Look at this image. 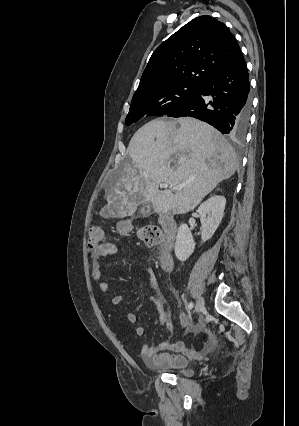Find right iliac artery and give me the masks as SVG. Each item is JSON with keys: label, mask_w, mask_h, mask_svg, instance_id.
I'll list each match as a JSON object with an SVG mask.
<instances>
[{"label": "right iliac artery", "mask_w": 299, "mask_h": 426, "mask_svg": "<svg viewBox=\"0 0 299 426\" xmlns=\"http://www.w3.org/2000/svg\"><path fill=\"white\" fill-rule=\"evenodd\" d=\"M193 308V302H190L189 304H188V310H191Z\"/></svg>", "instance_id": "obj_1"}]
</instances>
